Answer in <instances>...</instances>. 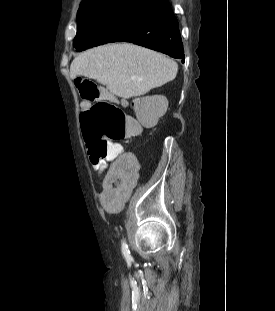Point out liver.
<instances>
[{"mask_svg": "<svg viewBox=\"0 0 275 311\" xmlns=\"http://www.w3.org/2000/svg\"><path fill=\"white\" fill-rule=\"evenodd\" d=\"M178 64L150 49L122 43L89 49L74 58L70 76L95 79L122 98L144 95L175 79Z\"/></svg>", "mask_w": 275, "mask_h": 311, "instance_id": "1", "label": "liver"}]
</instances>
